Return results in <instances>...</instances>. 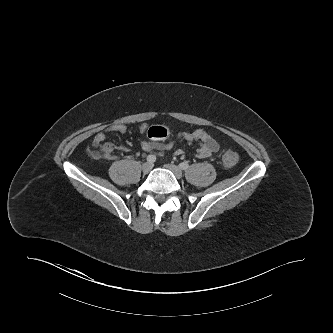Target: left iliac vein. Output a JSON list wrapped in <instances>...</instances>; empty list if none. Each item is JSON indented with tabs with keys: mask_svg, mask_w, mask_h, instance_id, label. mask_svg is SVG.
Listing matches in <instances>:
<instances>
[{
	"mask_svg": "<svg viewBox=\"0 0 333 333\" xmlns=\"http://www.w3.org/2000/svg\"><path fill=\"white\" fill-rule=\"evenodd\" d=\"M165 168H167L168 170H170L177 179L182 178L183 172H182V170H181L180 167H178V166H176L174 164H166Z\"/></svg>",
	"mask_w": 333,
	"mask_h": 333,
	"instance_id": "4c4485c4",
	"label": "left iliac vein"
}]
</instances>
